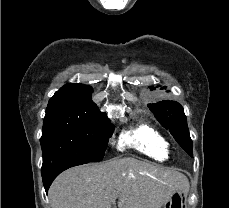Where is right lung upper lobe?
<instances>
[{
  "instance_id": "right-lung-upper-lobe-1",
  "label": "right lung upper lobe",
  "mask_w": 229,
  "mask_h": 208,
  "mask_svg": "<svg viewBox=\"0 0 229 208\" xmlns=\"http://www.w3.org/2000/svg\"><path fill=\"white\" fill-rule=\"evenodd\" d=\"M92 88L83 84L64 85L49 100L48 107L61 106L75 109L88 116L109 121L105 113L99 111L91 100Z\"/></svg>"
}]
</instances>
